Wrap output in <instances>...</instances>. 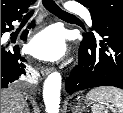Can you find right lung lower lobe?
<instances>
[{
    "label": "right lung lower lobe",
    "mask_w": 123,
    "mask_h": 113,
    "mask_svg": "<svg viewBox=\"0 0 123 113\" xmlns=\"http://www.w3.org/2000/svg\"><path fill=\"white\" fill-rule=\"evenodd\" d=\"M26 10L1 15V37L3 33L13 29L12 22L21 20L22 14L25 13ZM32 26L33 24L29 27ZM27 34L28 31L25 30L21 35V39L25 40ZM25 62L26 60L20 55L17 45L9 50L7 46L1 44V88H7L9 83L14 82L19 76L25 74Z\"/></svg>",
    "instance_id": "98d812e1"
}]
</instances>
